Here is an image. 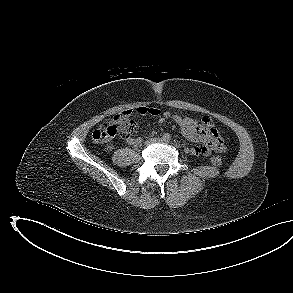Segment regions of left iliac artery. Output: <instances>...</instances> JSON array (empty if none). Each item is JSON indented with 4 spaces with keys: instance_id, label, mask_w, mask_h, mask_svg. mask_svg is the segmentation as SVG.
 <instances>
[{
    "instance_id": "44dca946",
    "label": "left iliac artery",
    "mask_w": 293,
    "mask_h": 293,
    "mask_svg": "<svg viewBox=\"0 0 293 293\" xmlns=\"http://www.w3.org/2000/svg\"><path fill=\"white\" fill-rule=\"evenodd\" d=\"M176 147H180V144L176 143Z\"/></svg>"
}]
</instances>
